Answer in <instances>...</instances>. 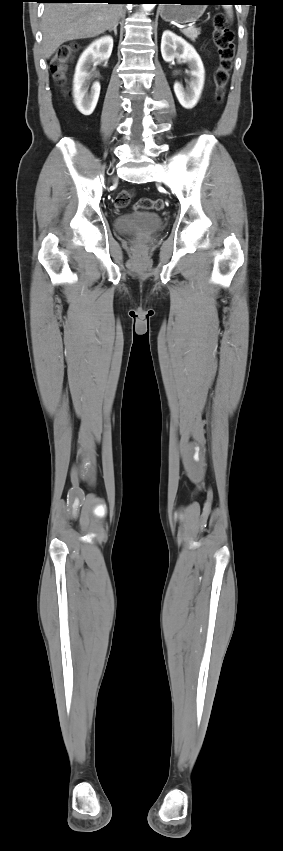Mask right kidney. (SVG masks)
<instances>
[{"label":"right kidney","mask_w":283,"mask_h":851,"mask_svg":"<svg viewBox=\"0 0 283 851\" xmlns=\"http://www.w3.org/2000/svg\"><path fill=\"white\" fill-rule=\"evenodd\" d=\"M113 49V39L104 36L92 42L81 54L74 75L73 96L77 109L85 116L91 115L97 105L100 94V83L91 86L89 77L98 59L108 60Z\"/></svg>","instance_id":"obj_1"}]
</instances>
